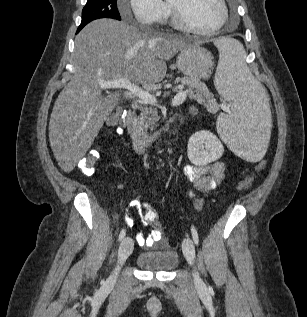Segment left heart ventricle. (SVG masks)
Instances as JSON below:
<instances>
[{
  "label": "left heart ventricle",
  "mask_w": 307,
  "mask_h": 317,
  "mask_svg": "<svg viewBox=\"0 0 307 317\" xmlns=\"http://www.w3.org/2000/svg\"><path fill=\"white\" fill-rule=\"evenodd\" d=\"M193 27L208 30L217 25L222 16L218 0H169Z\"/></svg>",
  "instance_id": "1"
}]
</instances>
